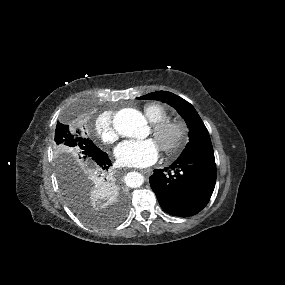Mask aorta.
<instances>
[{
    "label": "aorta",
    "mask_w": 285,
    "mask_h": 285,
    "mask_svg": "<svg viewBox=\"0 0 285 285\" xmlns=\"http://www.w3.org/2000/svg\"><path fill=\"white\" fill-rule=\"evenodd\" d=\"M115 130L125 137L142 139L147 136V121L143 114L133 108H125L116 113L113 119ZM126 185L131 188L140 187L144 177L138 172H130L125 177Z\"/></svg>",
    "instance_id": "aorta-1"
}]
</instances>
